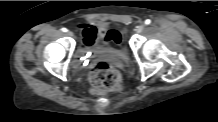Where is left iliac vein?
I'll return each instance as SVG.
<instances>
[{
  "label": "left iliac vein",
  "instance_id": "4c4485c4",
  "mask_svg": "<svg viewBox=\"0 0 218 122\" xmlns=\"http://www.w3.org/2000/svg\"><path fill=\"white\" fill-rule=\"evenodd\" d=\"M144 28H145V26L143 24H141L136 28V32L141 33L144 30Z\"/></svg>",
  "mask_w": 218,
  "mask_h": 122
}]
</instances>
